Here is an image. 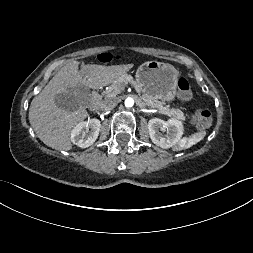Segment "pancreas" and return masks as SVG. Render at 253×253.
Here are the masks:
<instances>
[{"mask_svg": "<svg viewBox=\"0 0 253 253\" xmlns=\"http://www.w3.org/2000/svg\"><path fill=\"white\" fill-rule=\"evenodd\" d=\"M131 83L140 94V89L137 83L133 80L131 75H123L117 82H114L109 86V88L104 92L106 97H113L118 95L126 86V84ZM141 99L144 103L151 107L158 110L159 113L165 114L169 117H173L175 119L184 121L185 115L180 109H171L168 105H165L164 102L158 101L156 99L150 98L149 96L142 94Z\"/></svg>", "mask_w": 253, "mask_h": 253, "instance_id": "pancreas-1", "label": "pancreas"}]
</instances>
